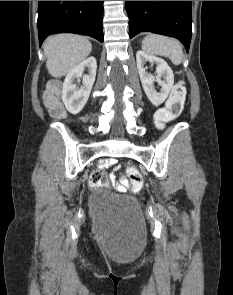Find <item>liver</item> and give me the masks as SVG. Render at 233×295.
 Segmentation results:
<instances>
[{
  "instance_id": "obj_1",
  "label": "liver",
  "mask_w": 233,
  "mask_h": 295,
  "mask_svg": "<svg viewBox=\"0 0 233 295\" xmlns=\"http://www.w3.org/2000/svg\"><path fill=\"white\" fill-rule=\"evenodd\" d=\"M92 45L86 37L75 34H57L44 42L49 74L60 78L89 56Z\"/></svg>"
}]
</instances>
